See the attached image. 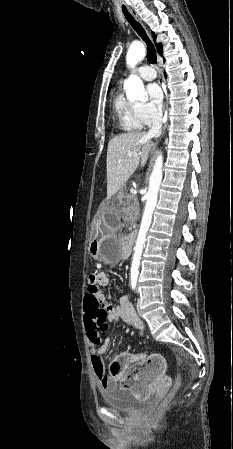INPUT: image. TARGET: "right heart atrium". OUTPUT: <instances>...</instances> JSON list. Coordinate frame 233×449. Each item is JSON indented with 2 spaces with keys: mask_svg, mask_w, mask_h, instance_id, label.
Instances as JSON below:
<instances>
[{
  "mask_svg": "<svg viewBox=\"0 0 233 449\" xmlns=\"http://www.w3.org/2000/svg\"><path fill=\"white\" fill-rule=\"evenodd\" d=\"M137 114L144 125H152L161 118L160 109L149 102L137 104Z\"/></svg>",
  "mask_w": 233,
  "mask_h": 449,
  "instance_id": "obj_1",
  "label": "right heart atrium"
}]
</instances>
